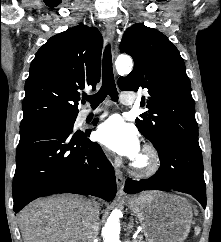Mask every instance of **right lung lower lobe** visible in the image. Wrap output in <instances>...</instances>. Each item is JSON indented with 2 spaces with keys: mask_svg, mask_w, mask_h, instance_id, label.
Listing matches in <instances>:
<instances>
[{
  "mask_svg": "<svg viewBox=\"0 0 221 242\" xmlns=\"http://www.w3.org/2000/svg\"><path fill=\"white\" fill-rule=\"evenodd\" d=\"M89 135V131L73 132V124L51 121L20 127L13 179L16 213L34 199L55 193L113 200L114 169Z\"/></svg>",
  "mask_w": 221,
  "mask_h": 242,
  "instance_id": "right-lung-lower-lobe-1",
  "label": "right lung lower lobe"
}]
</instances>
